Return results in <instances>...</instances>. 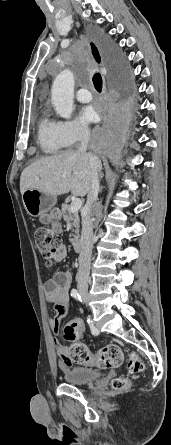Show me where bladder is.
<instances>
[{"instance_id":"obj_1","label":"bladder","mask_w":171,"mask_h":445,"mask_svg":"<svg viewBox=\"0 0 171 445\" xmlns=\"http://www.w3.org/2000/svg\"><path fill=\"white\" fill-rule=\"evenodd\" d=\"M101 371L95 368H73L64 373V379L68 384L84 385L98 380Z\"/></svg>"}]
</instances>
